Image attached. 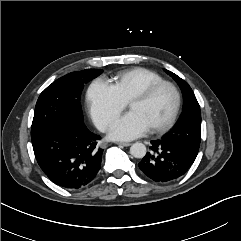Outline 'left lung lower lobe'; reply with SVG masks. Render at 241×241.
I'll return each instance as SVG.
<instances>
[{
    "label": "left lung lower lobe",
    "mask_w": 241,
    "mask_h": 241,
    "mask_svg": "<svg viewBox=\"0 0 241 241\" xmlns=\"http://www.w3.org/2000/svg\"><path fill=\"white\" fill-rule=\"evenodd\" d=\"M195 158L177 144L158 139L151 141L150 152L138 164L141 171L155 182H169L183 176Z\"/></svg>",
    "instance_id": "obj_1"
}]
</instances>
